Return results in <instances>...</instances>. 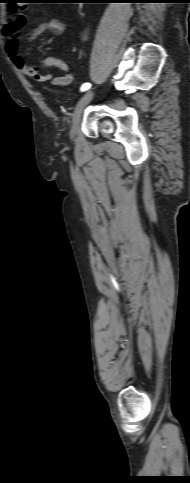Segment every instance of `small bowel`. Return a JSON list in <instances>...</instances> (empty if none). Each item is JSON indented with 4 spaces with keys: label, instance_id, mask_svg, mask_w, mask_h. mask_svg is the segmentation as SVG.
Listing matches in <instances>:
<instances>
[{
    "label": "small bowel",
    "instance_id": "c3829d8e",
    "mask_svg": "<svg viewBox=\"0 0 190 483\" xmlns=\"http://www.w3.org/2000/svg\"><path fill=\"white\" fill-rule=\"evenodd\" d=\"M28 29V19L24 14L18 15L14 20L7 22L3 27V35L6 38L5 41V51L11 62L23 73L30 76L37 82H45L52 80L55 86H65L68 85L72 79L73 75L69 70L68 65L59 58L56 57H45L42 59V65L45 67H56L64 72L62 76L53 78L52 74H40L37 66H29L24 61L23 57L19 53L18 44V32ZM65 29L63 22L57 19H51L46 22H42L39 25L30 28L26 32V37L28 39H36L41 34L50 31L53 34H61Z\"/></svg>",
    "mask_w": 190,
    "mask_h": 483
}]
</instances>
